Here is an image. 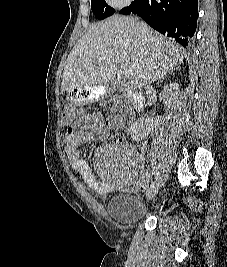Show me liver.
<instances>
[{
  "instance_id": "1",
  "label": "liver",
  "mask_w": 227,
  "mask_h": 267,
  "mask_svg": "<svg viewBox=\"0 0 227 267\" xmlns=\"http://www.w3.org/2000/svg\"><path fill=\"white\" fill-rule=\"evenodd\" d=\"M139 25L133 17L120 15L92 24L66 60L62 91L108 86L120 64L133 70L134 88H142L148 77L153 82L183 63L182 46L151 28L144 35Z\"/></svg>"
}]
</instances>
